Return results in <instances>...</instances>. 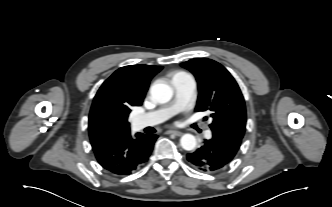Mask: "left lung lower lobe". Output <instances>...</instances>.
Returning a JSON list of instances; mask_svg holds the SVG:
<instances>
[{
  "instance_id": "left-lung-lower-lobe-1",
  "label": "left lung lower lobe",
  "mask_w": 332,
  "mask_h": 207,
  "mask_svg": "<svg viewBox=\"0 0 332 207\" xmlns=\"http://www.w3.org/2000/svg\"><path fill=\"white\" fill-rule=\"evenodd\" d=\"M213 136L205 140L202 147L187 154V160L199 171L218 172L234 158L241 145V138L225 133L212 132Z\"/></svg>"
}]
</instances>
